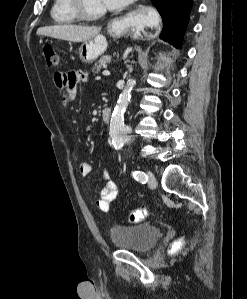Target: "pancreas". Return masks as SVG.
Wrapping results in <instances>:
<instances>
[{"label":"pancreas","instance_id":"obj_1","mask_svg":"<svg viewBox=\"0 0 247 299\" xmlns=\"http://www.w3.org/2000/svg\"><path fill=\"white\" fill-rule=\"evenodd\" d=\"M110 60H111L110 56L108 55L102 56L99 60L96 61L93 71L99 72L102 67H105L106 64L110 62Z\"/></svg>","mask_w":247,"mask_h":299}]
</instances>
